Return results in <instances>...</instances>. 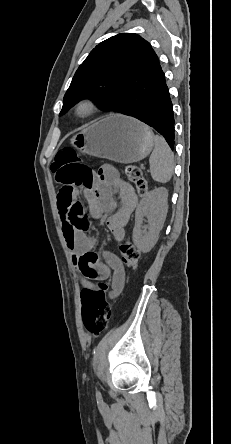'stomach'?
<instances>
[{"instance_id": "1", "label": "stomach", "mask_w": 231, "mask_h": 444, "mask_svg": "<svg viewBox=\"0 0 231 444\" xmlns=\"http://www.w3.org/2000/svg\"><path fill=\"white\" fill-rule=\"evenodd\" d=\"M71 144L85 154L128 164L144 159L155 142L148 126L132 117L114 114L74 135Z\"/></svg>"}]
</instances>
